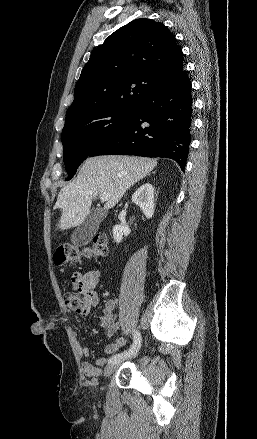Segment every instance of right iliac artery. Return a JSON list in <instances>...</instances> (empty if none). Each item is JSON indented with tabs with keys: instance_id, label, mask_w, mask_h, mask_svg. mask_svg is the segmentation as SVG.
Returning a JSON list of instances; mask_svg holds the SVG:
<instances>
[{
	"instance_id": "obj_1",
	"label": "right iliac artery",
	"mask_w": 257,
	"mask_h": 439,
	"mask_svg": "<svg viewBox=\"0 0 257 439\" xmlns=\"http://www.w3.org/2000/svg\"><path fill=\"white\" fill-rule=\"evenodd\" d=\"M140 347H141V335L137 330H134L132 346L128 350L115 354L112 357H110L108 363H115L119 360H124L128 357H131L139 351Z\"/></svg>"
}]
</instances>
